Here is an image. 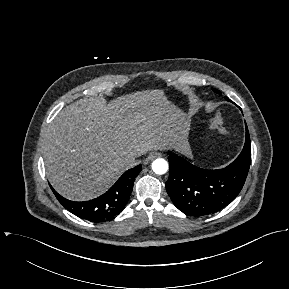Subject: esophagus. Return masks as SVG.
<instances>
[{
    "label": "esophagus",
    "instance_id": "34e87169",
    "mask_svg": "<svg viewBox=\"0 0 289 289\" xmlns=\"http://www.w3.org/2000/svg\"><path fill=\"white\" fill-rule=\"evenodd\" d=\"M158 157H161V153L159 152H151L148 156V159L149 160H153L155 158H158Z\"/></svg>",
    "mask_w": 289,
    "mask_h": 289
}]
</instances>
